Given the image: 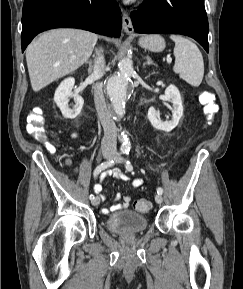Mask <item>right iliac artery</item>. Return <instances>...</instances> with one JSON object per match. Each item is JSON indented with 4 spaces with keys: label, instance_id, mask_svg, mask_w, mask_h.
<instances>
[{
    "label": "right iliac artery",
    "instance_id": "right-iliac-artery-1",
    "mask_svg": "<svg viewBox=\"0 0 243 289\" xmlns=\"http://www.w3.org/2000/svg\"><path fill=\"white\" fill-rule=\"evenodd\" d=\"M116 161H117V159L114 158V159L105 161V162H103L102 164H100L99 166H97L96 169L94 170V174H93L94 177H97L102 170H104V169H106V168H108V167L113 166ZM89 198H90V199H93V198H94V195L91 194V195L89 196Z\"/></svg>",
    "mask_w": 243,
    "mask_h": 289
}]
</instances>
